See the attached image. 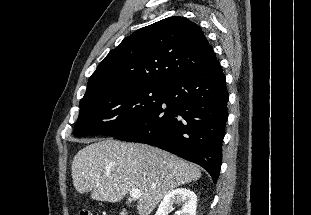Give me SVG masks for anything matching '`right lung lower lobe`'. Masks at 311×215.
I'll use <instances>...</instances> for the list:
<instances>
[{
    "instance_id": "98d812e1",
    "label": "right lung lower lobe",
    "mask_w": 311,
    "mask_h": 215,
    "mask_svg": "<svg viewBox=\"0 0 311 215\" xmlns=\"http://www.w3.org/2000/svg\"><path fill=\"white\" fill-rule=\"evenodd\" d=\"M226 77L220 62L168 81L160 105L114 138L162 148L202 166L217 182L227 121Z\"/></svg>"
}]
</instances>
